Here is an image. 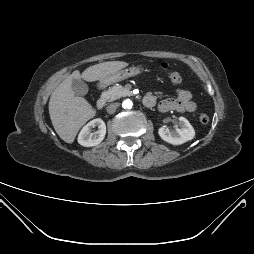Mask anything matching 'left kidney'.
Here are the masks:
<instances>
[{"instance_id":"1","label":"left kidney","mask_w":254,"mask_h":254,"mask_svg":"<svg viewBox=\"0 0 254 254\" xmlns=\"http://www.w3.org/2000/svg\"><path fill=\"white\" fill-rule=\"evenodd\" d=\"M180 128L169 129L166 126H162L158 130L159 136L166 142L173 145H180L189 140H192L195 136V131L189 121L184 117H179Z\"/></svg>"}]
</instances>
